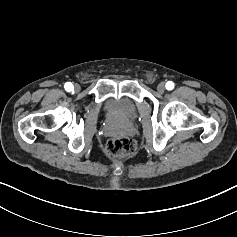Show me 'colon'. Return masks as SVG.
Here are the masks:
<instances>
[{
    "label": "colon",
    "instance_id": "1",
    "mask_svg": "<svg viewBox=\"0 0 237 237\" xmlns=\"http://www.w3.org/2000/svg\"><path fill=\"white\" fill-rule=\"evenodd\" d=\"M106 151L113 158H125L133 154L135 151V143L126 136L115 137L107 142Z\"/></svg>",
    "mask_w": 237,
    "mask_h": 237
}]
</instances>
